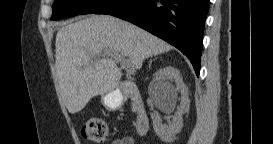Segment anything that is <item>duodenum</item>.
Returning a JSON list of instances; mask_svg holds the SVG:
<instances>
[{
	"label": "duodenum",
	"instance_id": "duodenum-1",
	"mask_svg": "<svg viewBox=\"0 0 273 144\" xmlns=\"http://www.w3.org/2000/svg\"><path fill=\"white\" fill-rule=\"evenodd\" d=\"M117 90L123 97L131 101L135 114V130L137 134L145 135L149 130V116L139 88L131 81H124L119 84Z\"/></svg>",
	"mask_w": 273,
	"mask_h": 144
}]
</instances>
